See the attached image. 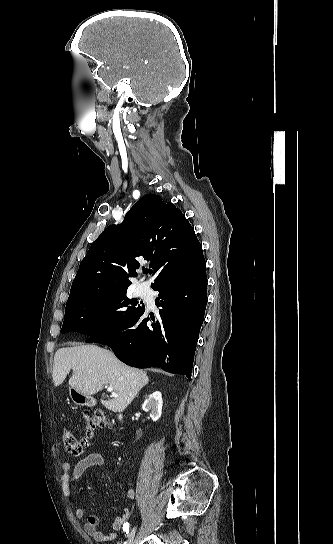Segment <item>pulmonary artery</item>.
Returning <instances> with one entry per match:
<instances>
[{"label": "pulmonary artery", "instance_id": "e3ab8cb5", "mask_svg": "<svg viewBox=\"0 0 333 544\" xmlns=\"http://www.w3.org/2000/svg\"><path fill=\"white\" fill-rule=\"evenodd\" d=\"M140 293H143V288H140Z\"/></svg>", "mask_w": 333, "mask_h": 544}]
</instances>
